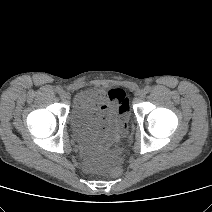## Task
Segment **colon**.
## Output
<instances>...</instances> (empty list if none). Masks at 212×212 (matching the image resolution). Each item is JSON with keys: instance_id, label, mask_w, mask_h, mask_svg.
Instances as JSON below:
<instances>
[{"instance_id": "1", "label": "colon", "mask_w": 212, "mask_h": 212, "mask_svg": "<svg viewBox=\"0 0 212 212\" xmlns=\"http://www.w3.org/2000/svg\"><path fill=\"white\" fill-rule=\"evenodd\" d=\"M118 105L121 113H125L128 111L129 99L126 97V95L123 98H120ZM109 175L112 178H118L121 175V168L118 165L113 166L109 171Z\"/></svg>"}]
</instances>
